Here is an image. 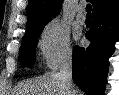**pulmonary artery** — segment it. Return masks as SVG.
<instances>
[{
	"instance_id": "1",
	"label": "pulmonary artery",
	"mask_w": 119,
	"mask_h": 95,
	"mask_svg": "<svg viewBox=\"0 0 119 95\" xmlns=\"http://www.w3.org/2000/svg\"><path fill=\"white\" fill-rule=\"evenodd\" d=\"M77 20L80 24H84L86 21V16L84 14V9L83 7H80L78 10V14H77Z\"/></svg>"
}]
</instances>
